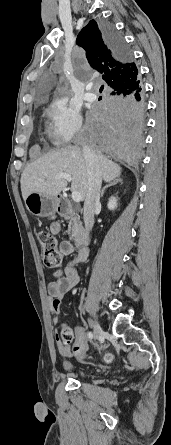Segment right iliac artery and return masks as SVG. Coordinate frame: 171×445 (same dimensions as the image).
Listing matches in <instances>:
<instances>
[{
	"mask_svg": "<svg viewBox=\"0 0 171 445\" xmlns=\"http://www.w3.org/2000/svg\"><path fill=\"white\" fill-rule=\"evenodd\" d=\"M88 337L90 338V339H92L93 338V333L90 331V332H88Z\"/></svg>",
	"mask_w": 171,
	"mask_h": 445,
	"instance_id": "right-iliac-artery-1",
	"label": "right iliac artery"
}]
</instances>
